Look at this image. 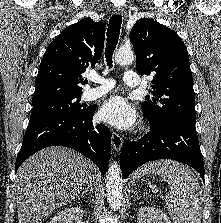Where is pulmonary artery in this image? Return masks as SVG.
I'll use <instances>...</instances> for the list:
<instances>
[{"label":"pulmonary artery","instance_id":"pulmonary-artery-1","mask_svg":"<svg viewBox=\"0 0 221 223\" xmlns=\"http://www.w3.org/2000/svg\"><path fill=\"white\" fill-rule=\"evenodd\" d=\"M123 80L126 85L130 87H137L140 85L141 81L136 71L127 70L123 74ZM89 81L98 84L97 87L89 88L85 91V99L93 100L96 99L114 87V82L110 78H104L99 75H92L89 77Z\"/></svg>","mask_w":221,"mask_h":223}]
</instances>
